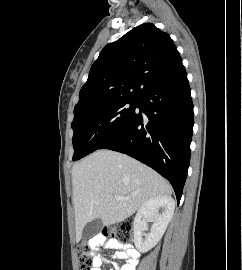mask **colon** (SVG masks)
<instances>
[{
	"instance_id": "5ec220e1",
	"label": "colon",
	"mask_w": 242,
	"mask_h": 270,
	"mask_svg": "<svg viewBox=\"0 0 242 270\" xmlns=\"http://www.w3.org/2000/svg\"><path fill=\"white\" fill-rule=\"evenodd\" d=\"M132 233L133 222L131 220H123L109 228L104 229L97 236H102L106 239L127 241L131 239ZM90 250V245L86 243L79 247V266L82 270H91L92 268L93 259L90 254Z\"/></svg>"
}]
</instances>
